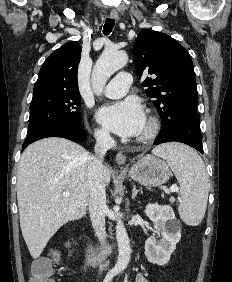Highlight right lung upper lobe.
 Returning <instances> with one entry per match:
<instances>
[{
	"label": "right lung upper lobe",
	"mask_w": 232,
	"mask_h": 282,
	"mask_svg": "<svg viewBox=\"0 0 232 282\" xmlns=\"http://www.w3.org/2000/svg\"><path fill=\"white\" fill-rule=\"evenodd\" d=\"M80 55L81 47L76 41L66 43L55 50L43 63L33 92H79L77 69Z\"/></svg>",
	"instance_id": "right-lung-upper-lobe-1"
}]
</instances>
